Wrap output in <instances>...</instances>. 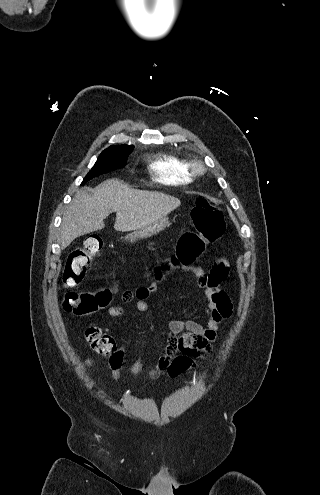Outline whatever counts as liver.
Here are the masks:
<instances>
[{"instance_id":"obj_1","label":"liver","mask_w":320,"mask_h":495,"mask_svg":"<svg viewBox=\"0 0 320 495\" xmlns=\"http://www.w3.org/2000/svg\"><path fill=\"white\" fill-rule=\"evenodd\" d=\"M176 197L131 189L117 179L104 181L93 192L78 191L62 219L60 243L66 248L77 237L101 230L116 212L114 229L126 232L145 227L180 206Z\"/></svg>"}]
</instances>
